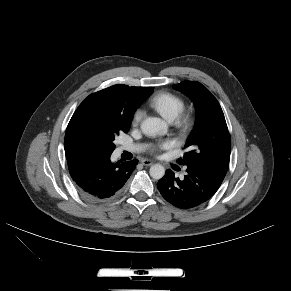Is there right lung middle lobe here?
<instances>
[{
  "mask_svg": "<svg viewBox=\"0 0 291 291\" xmlns=\"http://www.w3.org/2000/svg\"><path fill=\"white\" fill-rule=\"evenodd\" d=\"M130 124V121L117 117L77 109L67 126L65 142L79 153H112L115 137L120 132H128Z\"/></svg>",
  "mask_w": 291,
  "mask_h": 291,
  "instance_id": "1",
  "label": "right lung middle lobe"
}]
</instances>
